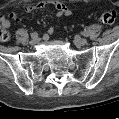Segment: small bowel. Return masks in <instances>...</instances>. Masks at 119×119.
I'll return each instance as SVG.
<instances>
[{
	"instance_id": "1",
	"label": "small bowel",
	"mask_w": 119,
	"mask_h": 119,
	"mask_svg": "<svg viewBox=\"0 0 119 119\" xmlns=\"http://www.w3.org/2000/svg\"><path fill=\"white\" fill-rule=\"evenodd\" d=\"M47 5H52L54 9L56 10V16L57 17H64V16H70L72 14V11L61 1H51V2H45L40 1L37 3L28 4L25 6L26 12H32L36 10L44 9ZM9 19H12L16 22H19L21 20L20 16L16 13H11L8 16H2L1 17V26L3 29H8L11 26V22ZM53 32V28L49 29V33L51 34Z\"/></svg>"
}]
</instances>
